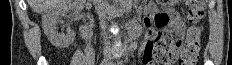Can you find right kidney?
<instances>
[{
  "label": "right kidney",
  "mask_w": 232,
  "mask_h": 65,
  "mask_svg": "<svg viewBox=\"0 0 232 65\" xmlns=\"http://www.w3.org/2000/svg\"><path fill=\"white\" fill-rule=\"evenodd\" d=\"M75 8L73 0H60L56 5L49 8L42 17V27L49 41L57 48H66L75 39V32L71 29L67 33H58L57 23L61 15Z\"/></svg>",
  "instance_id": "right-kidney-1"
}]
</instances>
